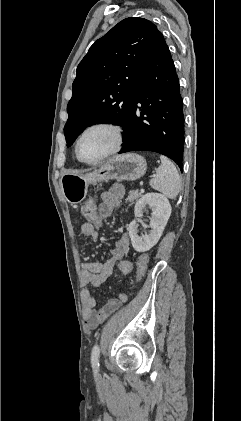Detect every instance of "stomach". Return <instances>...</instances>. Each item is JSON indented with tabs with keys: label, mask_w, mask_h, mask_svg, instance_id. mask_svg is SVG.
<instances>
[{
	"label": "stomach",
	"mask_w": 241,
	"mask_h": 421,
	"mask_svg": "<svg viewBox=\"0 0 241 421\" xmlns=\"http://www.w3.org/2000/svg\"><path fill=\"white\" fill-rule=\"evenodd\" d=\"M147 169L146 160L136 153L117 155L100 167L86 173L66 172L62 175L60 184L64 198L70 204L82 202L90 184L99 181L137 180Z\"/></svg>",
	"instance_id": "obj_1"
}]
</instances>
